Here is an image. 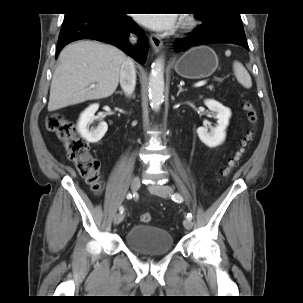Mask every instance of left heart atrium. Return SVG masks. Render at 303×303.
<instances>
[{"label": "left heart atrium", "instance_id": "1", "mask_svg": "<svg viewBox=\"0 0 303 303\" xmlns=\"http://www.w3.org/2000/svg\"><path fill=\"white\" fill-rule=\"evenodd\" d=\"M150 15L152 14H137L136 19L139 23L154 30L171 29L176 25L178 19L177 14Z\"/></svg>", "mask_w": 303, "mask_h": 303}]
</instances>
